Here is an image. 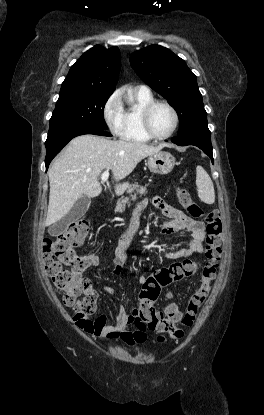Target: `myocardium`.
<instances>
[{
  "mask_svg": "<svg viewBox=\"0 0 264 415\" xmlns=\"http://www.w3.org/2000/svg\"><path fill=\"white\" fill-rule=\"evenodd\" d=\"M159 105H163L165 107H167L174 118V123L173 126L171 128V130L166 133L165 135H157L151 126V122H150V116L152 111L154 110V108H156ZM140 119H141V126H142V130L143 132L150 138L153 140H165L170 138L177 130L178 126H179V114L177 112V110L174 108L173 105H171L170 103H168L167 101L164 100H153L150 103L146 104L140 112Z\"/></svg>",
  "mask_w": 264,
  "mask_h": 415,
  "instance_id": "obj_1",
  "label": "myocardium"
}]
</instances>
